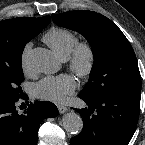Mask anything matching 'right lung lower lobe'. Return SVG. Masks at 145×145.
I'll list each match as a JSON object with an SVG mask.
<instances>
[{
	"instance_id": "right-lung-lower-lobe-1",
	"label": "right lung lower lobe",
	"mask_w": 145,
	"mask_h": 145,
	"mask_svg": "<svg viewBox=\"0 0 145 145\" xmlns=\"http://www.w3.org/2000/svg\"><path fill=\"white\" fill-rule=\"evenodd\" d=\"M18 100L0 99V145H37L41 121L56 117L58 109L49 101H35L21 114L16 109Z\"/></svg>"
}]
</instances>
